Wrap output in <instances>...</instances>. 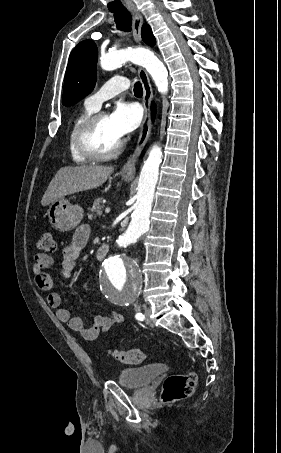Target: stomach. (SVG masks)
<instances>
[{
    "instance_id": "stomach-1",
    "label": "stomach",
    "mask_w": 281,
    "mask_h": 453,
    "mask_svg": "<svg viewBox=\"0 0 281 453\" xmlns=\"http://www.w3.org/2000/svg\"><path fill=\"white\" fill-rule=\"evenodd\" d=\"M125 180H131L133 176L124 174ZM83 208L79 204H71L67 198H58L51 202L46 214L49 216L53 229L65 233L78 227L83 218Z\"/></svg>"
}]
</instances>
